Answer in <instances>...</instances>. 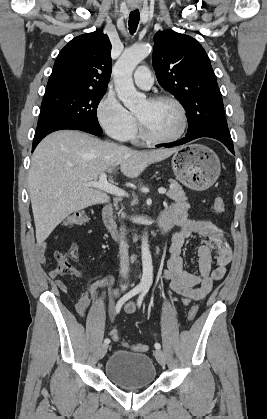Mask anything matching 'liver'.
<instances>
[{"label": "liver", "mask_w": 267, "mask_h": 419, "mask_svg": "<svg viewBox=\"0 0 267 419\" xmlns=\"http://www.w3.org/2000/svg\"><path fill=\"white\" fill-rule=\"evenodd\" d=\"M177 150L137 151L79 131L51 133L36 147L28 175L37 243L71 213L109 201L106 193L86 185L101 173L120 166L123 175L136 178Z\"/></svg>", "instance_id": "6515ba94"}]
</instances>
